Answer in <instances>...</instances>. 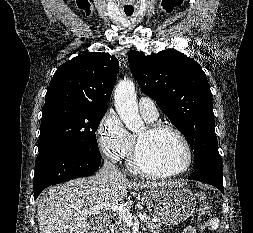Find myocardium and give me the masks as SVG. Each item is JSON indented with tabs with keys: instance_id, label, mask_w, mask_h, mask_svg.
<instances>
[{
	"instance_id": "myocardium-1",
	"label": "myocardium",
	"mask_w": 253,
	"mask_h": 233,
	"mask_svg": "<svg viewBox=\"0 0 253 233\" xmlns=\"http://www.w3.org/2000/svg\"><path fill=\"white\" fill-rule=\"evenodd\" d=\"M161 131H170L177 136V138L181 141L185 148L186 160L183 167L174 171H153L147 169L141 160V149H142V138L137 136L135 138L134 148L132 152V165L136 171L140 174L151 177V178H167V177H176L186 173L193 162V150L192 147L184 135V133L177 128L176 126L165 123V122H152L149 123L146 128V133L149 135H153L159 133Z\"/></svg>"
}]
</instances>
